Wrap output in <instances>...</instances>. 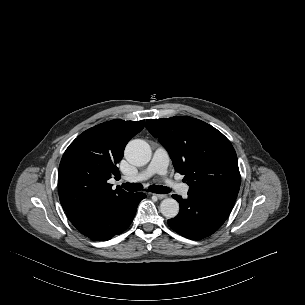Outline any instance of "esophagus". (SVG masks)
Instances as JSON below:
<instances>
[{
	"mask_svg": "<svg viewBox=\"0 0 305 305\" xmlns=\"http://www.w3.org/2000/svg\"><path fill=\"white\" fill-rule=\"evenodd\" d=\"M153 195L156 196L158 199H164V198L167 197V196L164 195V194H156V193H154Z\"/></svg>",
	"mask_w": 305,
	"mask_h": 305,
	"instance_id": "34e87169",
	"label": "esophagus"
}]
</instances>
